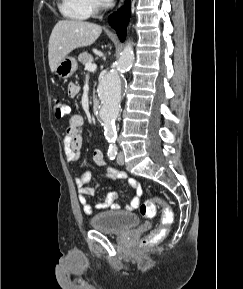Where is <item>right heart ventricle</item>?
<instances>
[{"instance_id":"1","label":"right heart ventricle","mask_w":243,"mask_h":289,"mask_svg":"<svg viewBox=\"0 0 243 289\" xmlns=\"http://www.w3.org/2000/svg\"><path fill=\"white\" fill-rule=\"evenodd\" d=\"M58 7L64 17L72 20H86L92 13L87 0H60Z\"/></svg>"}]
</instances>
